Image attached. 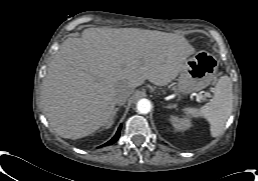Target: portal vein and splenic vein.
<instances>
[{
	"mask_svg": "<svg viewBox=\"0 0 258 181\" xmlns=\"http://www.w3.org/2000/svg\"><path fill=\"white\" fill-rule=\"evenodd\" d=\"M204 96L203 95H198V98L199 99H202Z\"/></svg>",
	"mask_w": 258,
	"mask_h": 181,
	"instance_id": "portal-vein-and-splenic-vein-1",
	"label": "portal vein and splenic vein"
}]
</instances>
